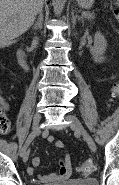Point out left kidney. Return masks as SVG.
<instances>
[{
  "instance_id": "obj_1",
  "label": "left kidney",
  "mask_w": 119,
  "mask_h": 185,
  "mask_svg": "<svg viewBox=\"0 0 119 185\" xmlns=\"http://www.w3.org/2000/svg\"><path fill=\"white\" fill-rule=\"evenodd\" d=\"M107 41L101 32H96L94 36V45L90 49V53L94 62L100 63L105 60L103 54L106 51Z\"/></svg>"
}]
</instances>
